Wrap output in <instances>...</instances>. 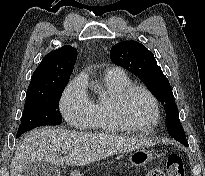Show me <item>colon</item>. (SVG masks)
<instances>
[{"label":"colon","mask_w":205,"mask_h":176,"mask_svg":"<svg viewBox=\"0 0 205 176\" xmlns=\"http://www.w3.org/2000/svg\"><path fill=\"white\" fill-rule=\"evenodd\" d=\"M167 176H185L182 159L178 154H170L166 160ZM152 176H165L164 173L154 171Z\"/></svg>","instance_id":"5ec220e1"}]
</instances>
